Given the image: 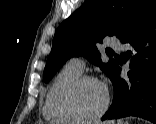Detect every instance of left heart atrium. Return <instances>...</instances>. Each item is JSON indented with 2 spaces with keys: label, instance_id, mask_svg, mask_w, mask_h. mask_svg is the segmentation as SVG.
Listing matches in <instances>:
<instances>
[{
  "label": "left heart atrium",
  "instance_id": "obj_1",
  "mask_svg": "<svg viewBox=\"0 0 156 124\" xmlns=\"http://www.w3.org/2000/svg\"><path fill=\"white\" fill-rule=\"evenodd\" d=\"M99 84H100V86L103 88L104 91L107 90V89H106V85H105L104 83L100 82Z\"/></svg>",
  "mask_w": 156,
  "mask_h": 124
}]
</instances>
